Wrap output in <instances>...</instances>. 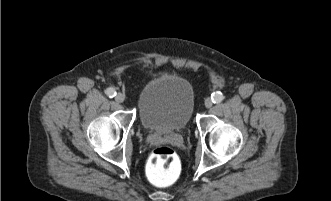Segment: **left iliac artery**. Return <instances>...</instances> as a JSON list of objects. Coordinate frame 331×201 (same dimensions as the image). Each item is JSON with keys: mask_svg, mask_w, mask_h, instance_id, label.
<instances>
[{"mask_svg": "<svg viewBox=\"0 0 331 201\" xmlns=\"http://www.w3.org/2000/svg\"><path fill=\"white\" fill-rule=\"evenodd\" d=\"M211 99L213 103H220L224 99V96L221 92H214L211 95Z\"/></svg>", "mask_w": 331, "mask_h": 201, "instance_id": "left-iliac-artery-1", "label": "left iliac artery"}]
</instances>
